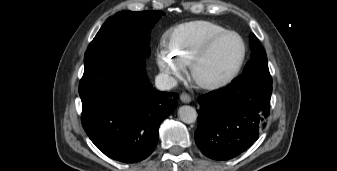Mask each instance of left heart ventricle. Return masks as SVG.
<instances>
[{"label": "left heart ventricle", "instance_id": "b2bd125f", "mask_svg": "<svg viewBox=\"0 0 337 171\" xmlns=\"http://www.w3.org/2000/svg\"><path fill=\"white\" fill-rule=\"evenodd\" d=\"M241 55V43L235 36H228L216 43L200 63L197 74L202 80L223 78L237 63Z\"/></svg>", "mask_w": 337, "mask_h": 171}]
</instances>
